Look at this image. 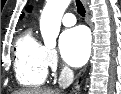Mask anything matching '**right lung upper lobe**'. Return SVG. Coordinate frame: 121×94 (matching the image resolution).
I'll return each instance as SVG.
<instances>
[{
	"label": "right lung upper lobe",
	"mask_w": 121,
	"mask_h": 94,
	"mask_svg": "<svg viewBox=\"0 0 121 94\" xmlns=\"http://www.w3.org/2000/svg\"><path fill=\"white\" fill-rule=\"evenodd\" d=\"M31 9H32V7H31V6H29L28 8H26V10H27L28 12H30V11H31ZM22 16H23V14H22Z\"/></svg>",
	"instance_id": "1"
}]
</instances>
